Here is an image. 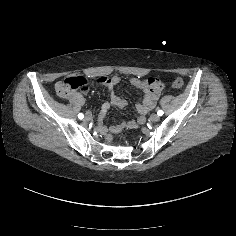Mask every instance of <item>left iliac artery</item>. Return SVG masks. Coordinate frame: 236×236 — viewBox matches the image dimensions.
Returning <instances> with one entry per match:
<instances>
[{
  "instance_id": "left-iliac-artery-1",
  "label": "left iliac artery",
  "mask_w": 236,
  "mask_h": 236,
  "mask_svg": "<svg viewBox=\"0 0 236 236\" xmlns=\"http://www.w3.org/2000/svg\"><path fill=\"white\" fill-rule=\"evenodd\" d=\"M163 111L162 110H158V112H157V114L159 115V116H162L163 115Z\"/></svg>"
}]
</instances>
